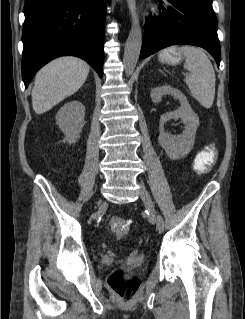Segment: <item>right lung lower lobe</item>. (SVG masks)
<instances>
[{
	"instance_id": "1",
	"label": "right lung lower lobe",
	"mask_w": 245,
	"mask_h": 319,
	"mask_svg": "<svg viewBox=\"0 0 245 319\" xmlns=\"http://www.w3.org/2000/svg\"><path fill=\"white\" fill-rule=\"evenodd\" d=\"M107 0H26L22 32V79L52 59L73 55L103 74L104 20Z\"/></svg>"
}]
</instances>
